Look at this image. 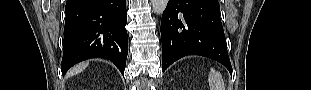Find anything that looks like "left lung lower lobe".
<instances>
[{
  "label": "left lung lower lobe",
  "mask_w": 311,
  "mask_h": 90,
  "mask_svg": "<svg viewBox=\"0 0 311 90\" xmlns=\"http://www.w3.org/2000/svg\"><path fill=\"white\" fill-rule=\"evenodd\" d=\"M162 71L187 55L223 64L232 74L218 0H169L161 22Z\"/></svg>",
  "instance_id": "0a47b994"
}]
</instances>
